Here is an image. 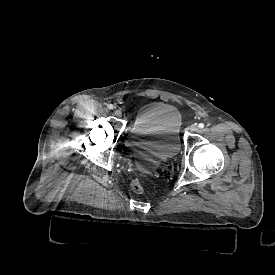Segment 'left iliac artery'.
Segmentation results:
<instances>
[{
  "label": "left iliac artery",
  "instance_id": "1",
  "mask_svg": "<svg viewBox=\"0 0 275 275\" xmlns=\"http://www.w3.org/2000/svg\"><path fill=\"white\" fill-rule=\"evenodd\" d=\"M198 127H199V128H204V124H203V123H200V124L198 125Z\"/></svg>",
  "mask_w": 275,
  "mask_h": 275
}]
</instances>
